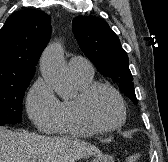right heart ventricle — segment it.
<instances>
[{"instance_id":"e07e8e85","label":"right heart ventricle","mask_w":168,"mask_h":162,"mask_svg":"<svg viewBox=\"0 0 168 162\" xmlns=\"http://www.w3.org/2000/svg\"><path fill=\"white\" fill-rule=\"evenodd\" d=\"M74 77L79 89L89 85L92 78L83 79ZM61 120L58 125L51 131L57 135H70V136H86L93 133L91 129L82 124L78 119L75 108L74 99H65L61 102Z\"/></svg>"}]
</instances>
